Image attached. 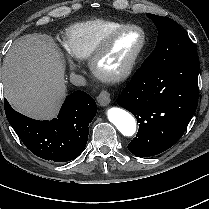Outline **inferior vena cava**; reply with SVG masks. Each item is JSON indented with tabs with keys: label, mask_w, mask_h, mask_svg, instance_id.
<instances>
[{
	"label": "inferior vena cava",
	"mask_w": 209,
	"mask_h": 209,
	"mask_svg": "<svg viewBox=\"0 0 209 209\" xmlns=\"http://www.w3.org/2000/svg\"><path fill=\"white\" fill-rule=\"evenodd\" d=\"M70 81L72 84L76 85V86H85L86 85V79L81 76V75H77L72 73L70 75Z\"/></svg>",
	"instance_id": "1"
}]
</instances>
